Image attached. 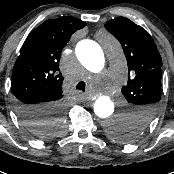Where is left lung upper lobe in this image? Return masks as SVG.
<instances>
[{
    "label": "left lung upper lobe",
    "instance_id": "5c2ea615",
    "mask_svg": "<svg viewBox=\"0 0 174 174\" xmlns=\"http://www.w3.org/2000/svg\"><path fill=\"white\" fill-rule=\"evenodd\" d=\"M105 28L122 45L129 77L121 91L133 106L138 126H143L152 118L161 99L160 54L147 31L128 18L110 20Z\"/></svg>",
    "mask_w": 174,
    "mask_h": 174
}]
</instances>
